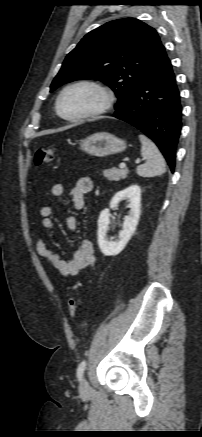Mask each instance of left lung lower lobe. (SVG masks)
<instances>
[{
	"label": "left lung lower lobe",
	"mask_w": 202,
	"mask_h": 437,
	"mask_svg": "<svg viewBox=\"0 0 202 437\" xmlns=\"http://www.w3.org/2000/svg\"><path fill=\"white\" fill-rule=\"evenodd\" d=\"M181 112L175 75L166 57L159 69L115 109L113 116L132 124L151 138L174 172Z\"/></svg>",
	"instance_id": "left-lung-lower-lobe-1"
}]
</instances>
